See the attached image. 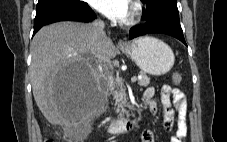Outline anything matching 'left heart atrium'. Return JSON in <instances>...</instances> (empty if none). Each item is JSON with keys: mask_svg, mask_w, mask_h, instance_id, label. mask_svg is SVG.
Instances as JSON below:
<instances>
[{"mask_svg": "<svg viewBox=\"0 0 227 142\" xmlns=\"http://www.w3.org/2000/svg\"><path fill=\"white\" fill-rule=\"evenodd\" d=\"M131 0H90L92 6L114 21H125L130 14Z\"/></svg>", "mask_w": 227, "mask_h": 142, "instance_id": "39dd6f15", "label": "left heart atrium"}]
</instances>
